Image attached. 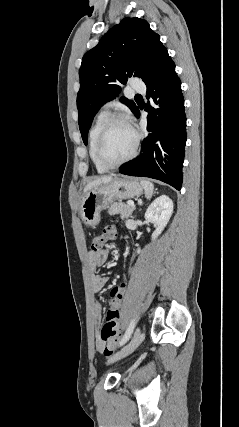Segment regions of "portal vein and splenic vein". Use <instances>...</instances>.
<instances>
[{"label": "portal vein and splenic vein", "instance_id": "18ae733b", "mask_svg": "<svg viewBox=\"0 0 239 427\" xmlns=\"http://www.w3.org/2000/svg\"><path fill=\"white\" fill-rule=\"evenodd\" d=\"M127 204H128L129 206L133 207V208H134V206H135L133 201H128V202H127Z\"/></svg>", "mask_w": 239, "mask_h": 427}]
</instances>
